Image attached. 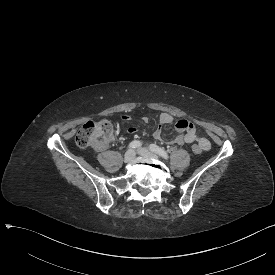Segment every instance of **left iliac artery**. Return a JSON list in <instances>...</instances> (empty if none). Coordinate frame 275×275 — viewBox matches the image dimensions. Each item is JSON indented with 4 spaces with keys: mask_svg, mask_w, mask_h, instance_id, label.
Listing matches in <instances>:
<instances>
[{
    "mask_svg": "<svg viewBox=\"0 0 275 275\" xmlns=\"http://www.w3.org/2000/svg\"><path fill=\"white\" fill-rule=\"evenodd\" d=\"M149 148L152 152L160 155L162 158H164L166 160L169 158L168 153L161 147L157 146L156 144H151Z\"/></svg>",
    "mask_w": 275,
    "mask_h": 275,
    "instance_id": "1",
    "label": "left iliac artery"
}]
</instances>
